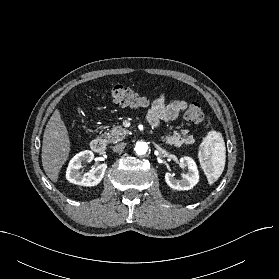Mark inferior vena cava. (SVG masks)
Here are the masks:
<instances>
[{"label": "inferior vena cava", "mask_w": 279, "mask_h": 279, "mask_svg": "<svg viewBox=\"0 0 279 279\" xmlns=\"http://www.w3.org/2000/svg\"><path fill=\"white\" fill-rule=\"evenodd\" d=\"M125 146H126V144L122 142V143L115 145L112 148V150L116 153H121L124 150Z\"/></svg>", "instance_id": "obj_1"}]
</instances>
